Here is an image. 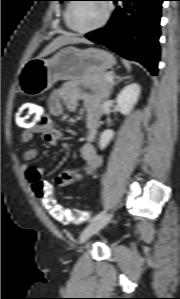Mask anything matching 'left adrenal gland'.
<instances>
[{"instance_id":"left-adrenal-gland-1","label":"left adrenal gland","mask_w":180,"mask_h":299,"mask_svg":"<svg viewBox=\"0 0 180 299\" xmlns=\"http://www.w3.org/2000/svg\"><path fill=\"white\" fill-rule=\"evenodd\" d=\"M129 78H130V77H123V78L118 77L117 81H115V82L113 83L112 87L115 86V85H117V84H118L119 82H121L122 80H124V79H129Z\"/></svg>"}]
</instances>
